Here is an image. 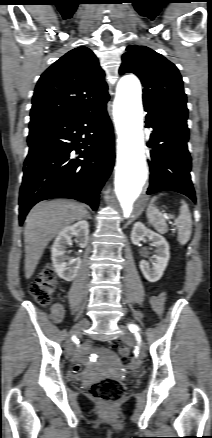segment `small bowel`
<instances>
[{"mask_svg":"<svg viewBox=\"0 0 212 438\" xmlns=\"http://www.w3.org/2000/svg\"><path fill=\"white\" fill-rule=\"evenodd\" d=\"M165 301H166V294L165 293H161V294L153 296L151 298L152 308L154 309V311L158 315L163 314L164 307H165ZM63 315H64V309H63L62 305H60V304L53 305V307L51 309L52 320L54 322H59L63 318Z\"/></svg>","mask_w":212,"mask_h":438,"instance_id":"1","label":"small bowel"}]
</instances>
